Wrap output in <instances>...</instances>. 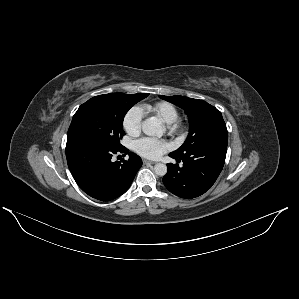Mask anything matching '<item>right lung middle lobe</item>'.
Masks as SVG:
<instances>
[{
    "instance_id": "right-lung-middle-lobe-1",
    "label": "right lung middle lobe",
    "mask_w": 299,
    "mask_h": 299,
    "mask_svg": "<svg viewBox=\"0 0 299 299\" xmlns=\"http://www.w3.org/2000/svg\"><path fill=\"white\" fill-rule=\"evenodd\" d=\"M147 96L148 93L143 96L113 93L99 99L91 98L74 114L67 143L91 140L120 148V139L125 134L122 129L125 114Z\"/></svg>"
}]
</instances>
